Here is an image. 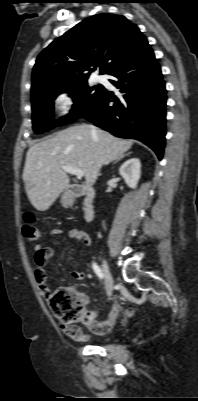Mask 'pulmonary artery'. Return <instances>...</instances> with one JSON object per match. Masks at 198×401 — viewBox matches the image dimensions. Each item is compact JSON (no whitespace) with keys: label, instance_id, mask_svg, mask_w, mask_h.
<instances>
[{"label":"pulmonary artery","instance_id":"obj_1","mask_svg":"<svg viewBox=\"0 0 198 401\" xmlns=\"http://www.w3.org/2000/svg\"><path fill=\"white\" fill-rule=\"evenodd\" d=\"M102 80V78L100 76L96 77V81L100 82Z\"/></svg>","mask_w":198,"mask_h":401}]
</instances>
